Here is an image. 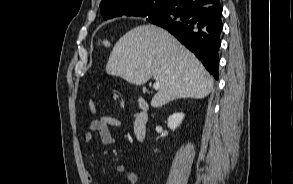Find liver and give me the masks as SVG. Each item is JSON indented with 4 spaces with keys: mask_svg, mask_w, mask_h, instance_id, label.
<instances>
[{
    "mask_svg": "<svg viewBox=\"0 0 293 184\" xmlns=\"http://www.w3.org/2000/svg\"><path fill=\"white\" fill-rule=\"evenodd\" d=\"M106 72L135 85L153 77L160 83L151 101L155 108L178 98H204L214 85L194 54L165 29L150 24L131 29L117 41Z\"/></svg>",
    "mask_w": 293,
    "mask_h": 184,
    "instance_id": "6515ba94",
    "label": "liver"
}]
</instances>
